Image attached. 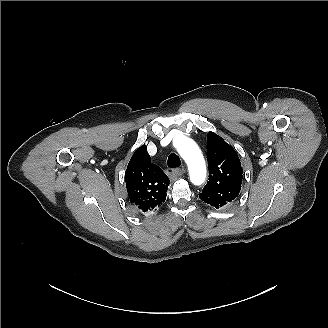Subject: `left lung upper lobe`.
<instances>
[{
	"mask_svg": "<svg viewBox=\"0 0 328 328\" xmlns=\"http://www.w3.org/2000/svg\"><path fill=\"white\" fill-rule=\"evenodd\" d=\"M207 142L209 181L199 197L218 209L238 196L243 169L236 151L220 136L209 132Z\"/></svg>",
	"mask_w": 328,
	"mask_h": 328,
	"instance_id": "left-lung-upper-lobe-1",
	"label": "left lung upper lobe"
}]
</instances>
